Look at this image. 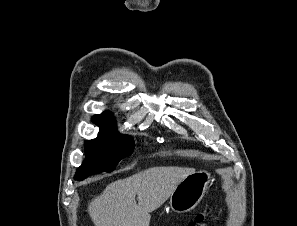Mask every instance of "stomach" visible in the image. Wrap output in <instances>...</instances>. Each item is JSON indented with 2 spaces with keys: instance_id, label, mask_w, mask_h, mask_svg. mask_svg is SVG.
<instances>
[{
  "instance_id": "0dacf381",
  "label": "stomach",
  "mask_w": 297,
  "mask_h": 226,
  "mask_svg": "<svg viewBox=\"0 0 297 226\" xmlns=\"http://www.w3.org/2000/svg\"><path fill=\"white\" fill-rule=\"evenodd\" d=\"M210 181L211 174L204 170L188 175L170 195V209L176 213L193 210L203 198Z\"/></svg>"
}]
</instances>
